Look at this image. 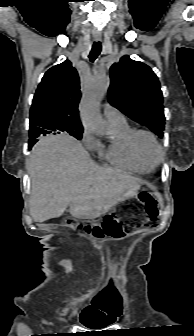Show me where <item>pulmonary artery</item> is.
<instances>
[{
    "label": "pulmonary artery",
    "instance_id": "1",
    "mask_svg": "<svg viewBox=\"0 0 194 336\" xmlns=\"http://www.w3.org/2000/svg\"><path fill=\"white\" fill-rule=\"evenodd\" d=\"M103 114L110 125L121 124L126 121L123 114L109 103L103 104Z\"/></svg>",
    "mask_w": 194,
    "mask_h": 336
}]
</instances>
